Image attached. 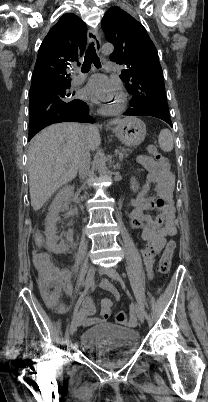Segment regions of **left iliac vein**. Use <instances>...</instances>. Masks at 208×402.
<instances>
[{
    "label": "left iliac vein",
    "instance_id": "left-iliac-vein-1",
    "mask_svg": "<svg viewBox=\"0 0 208 402\" xmlns=\"http://www.w3.org/2000/svg\"><path fill=\"white\" fill-rule=\"evenodd\" d=\"M100 272H103L104 274H106L108 277H110L111 279L119 282L120 284H122L123 286H125L124 281L122 279V277L120 276V274L114 269V268H99ZM135 311L137 314V317L139 319L140 322H144V313L141 309V307L138 304H135Z\"/></svg>",
    "mask_w": 208,
    "mask_h": 402
}]
</instances>
